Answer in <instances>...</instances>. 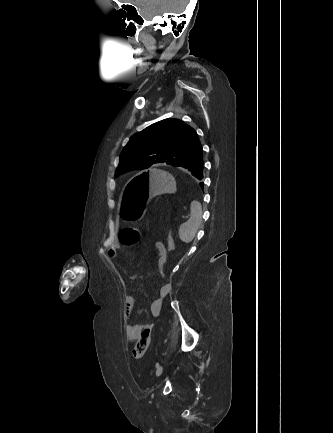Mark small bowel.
Listing matches in <instances>:
<instances>
[{
	"label": "small bowel",
	"instance_id": "1",
	"mask_svg": "<svg viewBox=\"0 0 333 433\" xmlns=\"http://www.w3.org/2000/svg\"><path fill=\"white\" fill-rule=\"evenodd\" d=\"M155 247L158 252V259H157V266L158 270L161 273L163 266L165 264L167 254H168V247L161 241L156 242ZM107 255L109 258H116L118 255V246L116 244L111 245L108 248ZM171 290V287L167 283H163L157 293V297L154 299V301L150 305V313L152 316H157L160 312L161 305L163 300L169 295ZM135 299L127 295L124 298V320H125V333L126 338L128 341L132 342L139 338L141 333L146 329L149 328V324L142 323V324H134L131 323L130 320L132 319L134 309H135Z\"/></svg>",
	"mask_w": 333,
	"mask_h": 433
}]
</instances>
